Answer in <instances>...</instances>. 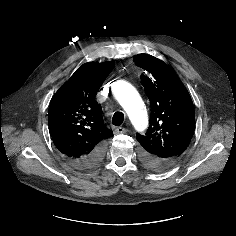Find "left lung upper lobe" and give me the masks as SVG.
Segmentation results:
<instances>
[{"mask_svg":"<svg viewBox=\"0 0 236 236\" xmlns=\"http://www.w3.org/2000/svg\"><path fill=\"white\" fill-rule=\"evenodd\" d=\"M145 70L141 75L150 100V125L144 135L137 134L141 159L151 169L161 171L172 166L188 147L195 129L192 99L172 69L148 54L133 58Z\"/></svg>","mask_w":236,"mask_h":236,"instance_id":"obj_1","label":"left lung upper lobe"}]
</instances>
